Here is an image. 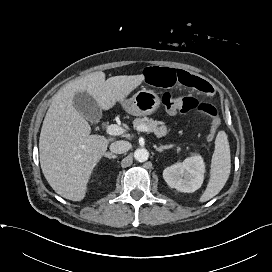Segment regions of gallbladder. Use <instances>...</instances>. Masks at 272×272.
I'll return each mask as SVG.
<instances>
[{"instance_id": "1", "label": "gallbladder", "mask_w": 272, "mask_h": 272, "mask_svg": "<svg viewBox=\"0 0 272 272\" xmlns=\"http://www.w3.org/2000/svg\"><path fill=\"white\" fill-rule=\"evenodd\" d=\"M74 107L87 120L97 123L101 118V109L95 99L87 92H78L74 96Z\"/></svg>"}]
</instances>
